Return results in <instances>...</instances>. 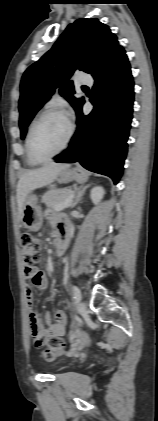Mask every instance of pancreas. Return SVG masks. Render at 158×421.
<instances>
[{"mask_svg":"<svg viewBox=\"0 0 158 421\" xmlns=\"http://www.w3.org/2000/svg\"><path fill=\"white\" fill-rule=\"evenodd\" d=\"M70 193V188L53 189L44 194L42 202L56 210L59 205L64 204L68 200Z\"/></svg>","mask_w":158,"mask_h":421,"instance_id":"pancreas-1","label":"pancreas"}]
</instances>
